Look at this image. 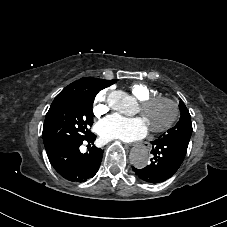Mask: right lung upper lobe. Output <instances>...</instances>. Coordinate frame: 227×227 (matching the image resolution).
Returning <instances> with one entry per match:
<instances>
[{"label": "right lung upper lobe", "instance_id": "obj_1", "mask_svg": "<svg viewBox=\"0 0 227 227\" xmlns=\"http://www.w3.org/2000/svg\"><path fill=\"white\" fill-rule=\"evenodd\" d=\"M85 78V77H84ZM82 79V78H81ZM79 80H77V81H75V82H73V83H71L70 85H68V86H72V85H74L75 83H77ZM108 81V80H107ZM109 81H113V80H109Z\"/></svg>", "mask_w": 227, "mask_h": 227}]
</instances>
